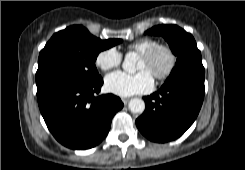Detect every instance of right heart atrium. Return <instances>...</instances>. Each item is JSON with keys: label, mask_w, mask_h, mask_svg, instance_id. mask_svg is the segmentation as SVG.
I'll list each match as a JSON object with an SVG mask.
<instances>
[{"label": "right heart atrium", "mask_w": 245, "mask_h": 170, "mask_svg": "<svg viewBox=\"0 0 245 170\" xmlns=\"http://www.w3.org/2000/svg\"><path fill=\"white\" fill-rule=\"evenodd\" d=\"M123 55L114 47L106 48L99 52L95 64L101 70L107 71L121 64Z\"/></svg>", "instance_id": "right-heart-atrium-1"}]
</instances>
